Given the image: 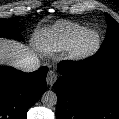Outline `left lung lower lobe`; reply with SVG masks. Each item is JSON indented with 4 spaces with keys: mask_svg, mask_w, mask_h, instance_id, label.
<instances>
[{
    "mask_svg": "<svg viewBox=\"0 0 119 119\" xmlns=\"http://www.w3.org/2000/svg\"><path fill=\"white\" fill-rule=\"evenodd\" d=\"M54 84L57 119H119V54L61 61Z\"/></svg>",
    "mask_w": 119,
    "mask_h": 119,
    "instance_id": "obj_1",
    "label": "left lung lower lobe"
}]
</instances>
